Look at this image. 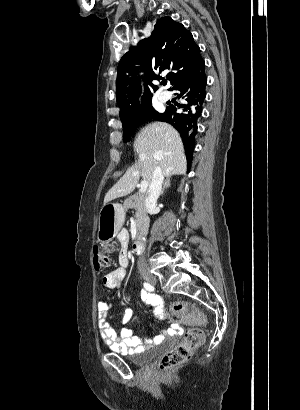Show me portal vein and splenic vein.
I'll use <instances>...</instances> for the list:
<instances>
[{
  "label": "portal vein and splenic vein",
  "mask_w": 300,
  "mask_h": 410,
  "mask_svg": "<svg viewBox=\"0 0 300 410\" xmlns=\"http://www.w3.org/2000/svg\"><path fill=\"white\" fill-rule=\"evenodd\" d=\"M148 188V182L147 181H142L140 184V189H139V193H143L147 190Z\"/></svg>",
  "instance_id": "obj_1"
}]
</instances>
